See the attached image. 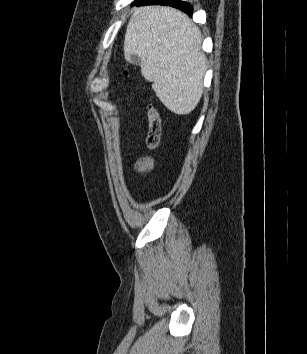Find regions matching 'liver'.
I'll return each mask as SVG.
<instances>
[{"label":"liver","mask_w":307,"mask_h":354,"mask_svg":"<svg viewBox=\"0 0 307 354\" xmlns=\"http://www.w3.org/2000/svg\"><path fill=\"white\" fill-rule=\"evenodd\" d=\"M202 36L189 17L168 6L134 9L127 25L124 53L141 60L143 77L159 100L177 115L191 113L203 94L206 57Z\"/></svg>","instance_id":"liver-1"}]
</instances>
